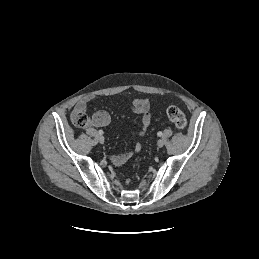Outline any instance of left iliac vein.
I'll return each mask as SVG.
<instances>
[{
  "mask_svg": "<svg viewBox=\"0 0 259 259\" xmlns=\"http://www.w3.org/2000/svg\"><path fill=\"white\" fill-rule=\"evenodd\" d=\"M157 145H158V147H163V145H164V141L162 140V139H159L158 140V142H157Z\"/></svg>",
  "mask_w": 259,
  "mask_h": 259,
  "instance_id": "4c4485c4",
  "label": "left iliac vein"
}]
</instances>
